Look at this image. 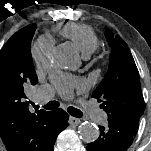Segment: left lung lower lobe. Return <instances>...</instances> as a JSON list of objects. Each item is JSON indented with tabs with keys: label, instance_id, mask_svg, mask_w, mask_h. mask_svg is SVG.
<instances>
[{
	"label": "left lung lower lobe",
	"instance_id": "obj_1",
	"mask_svg": "<svg viewBox=\"0 0 151 151\" xmlns=\"http://www.w3.org/2000/svg\"><path fill=\"white\" fill-rule=\"evenodd\" d=\"M99 128L100 136L87 145L88 151H126L133 142V135L111 123H108L106 127L99 126Z\"/></svg>",
	"mask_w": 151,
	"mask_h": 151
}]
</instances>
